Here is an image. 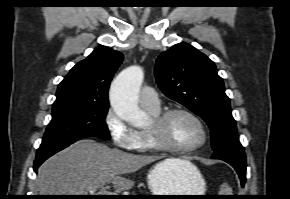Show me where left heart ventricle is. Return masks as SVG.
Masks as SVG:
<instances>
[{
    "label": "left heart ventricle",
    "instance_id": "left-heart-ventricle-1",
    "mask_svg": "<svg viewBox=\"0 0 290 199\" xmlns=\"http://www.w3.org/2000/svg\"><path fill=\"white\" fill-rule=\"evenodd\" d=\"M151 126L152 122L149 128ZM162 137L173 146L188 148L201 141L202 133L193 119L184 114H175L167 121Z\"/></svg>",
    "mask_w": 290,
    "mask_h": 199
}]
</instances>
